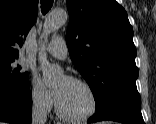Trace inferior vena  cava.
Returning <instances> with one entry per match:
<instances>
[{
  "mask_svg": "<svg viewBox=\"0 0 156 124\" xmlns=\"http://www.w3.org/2000/svg\"><path fill=\"white\" fill-rule=\"evenodd\" d=\"M47 109L45 98L41 95L33 96L32 124H46Z\"/></svg>",
  "mask_w": 156,
  "mask_h": 124,
  "instance_id": "1",
  "label": "inferior vena cava"
}]
</instances>
